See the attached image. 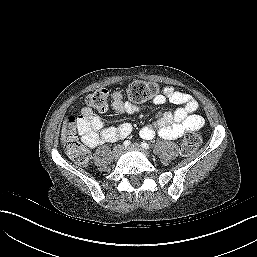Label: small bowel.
I'll return each instance as SVG.
<instances>
[{
    "label": "small bowel",
    "instance_id": "small-bowel-1",
    "mask_svg": "<svg viewBox=\"0 0 257 257\" xmlns=\"http://www.w3.org/2000/svg\"><path fill=\"white\" fill-rule=\"evenodd\" d=\"M166 101L179 107L174 111L158 113L153 124L146 125L141 129V138L150 140L158 134L164 139H177L188 132L199 130L203 126V118L195 114L198 104L190 95L168 86L153 100L156 105L164 104ZM112 106L119 114L131 115L140 111L138 105L123 101L121 94L117 91L112 94ZM77 127L82 141L90 148L123 139L132 131L130 123L105 126L103 119L93 114L88 108L82 109Z\"/></svg>",
    "mask_w": 257,
    "mask_h": 257
}]
</instances>
